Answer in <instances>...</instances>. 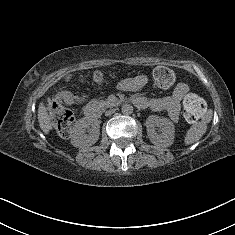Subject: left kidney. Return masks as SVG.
Returning <instances> with one entry per match:
<instances>
[{"instance_id":"left-kidney-1","label":"left kidney","mask_w":235,"mask_h":235,"mask_svg":"<svg viewBox=\"0 0 235 235\" xmlns=\"http://www.w3.org/2000/svg\"><path fill=\"white\" fill-rule=\"evenodd\" d=\"M147 135L150 141L159 147H169L175 138V127L168 118L149 115L145 122ZM157 129H159L157 131Z\"/></svg>"}]
</instances>
